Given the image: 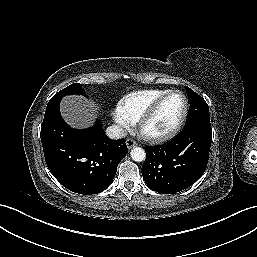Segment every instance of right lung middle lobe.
I'll use <instances>...</instances> for the list:
<instances>
[{"mask_svg":"<svg viewBox=\"0 0 257 257\" xmlns=\"http://www.w3.org/2000/svg\"><path fill=\"white\" fill-rule=\"evenodd\" d=\"M70 94H80L86 96L85 90L82 89V84L74 83L56 93L52 98H62L63 96Z\"/></svg>","mask_w":257,"mask_h":257,"instance_id":"obj_1","label":"right lung middle lobe"}]
</instances>
